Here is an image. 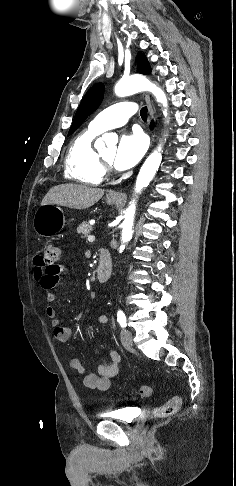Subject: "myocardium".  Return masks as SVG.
<instances>
[{
    "instance_id": "myocardium-1",
    "label": "myocardium",
    "mask_w": 236,
    "mask_h": 486,
    "mask_svg": "<svg viewBox=\"0 0 236 486\" xmlns=\"http://www.w3.org/2000/svg\"><path fill=\"white\" fill-rule=\"evenodd\" d=\"M99 161H100V164L102 166V169L104 171V174L106 173H110L111 172V163L106 161L101 155H99Z\"/></svg>"
}]
</instances>
